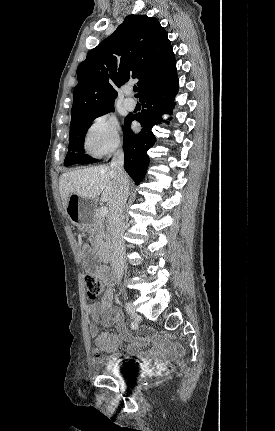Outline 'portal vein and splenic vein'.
<instances>
[{
	"label": "portal vein and splenic vein",
	"instance_id": "portal-vein-and-splenic-vein-1",
	"mask_svg": "<svg viewBox=\"0 0 275 431\" xmlns=\"http://www.w3.org/2000/svg\"><path fill=\"white\" fill-rule=\"evenodd\" d=\"M107 214H108V208H107V207H105V206L101 207V208H100V215H101L102 217H104V216H107Z\"/></svg>",
	"mask_w": 275,
	"mask_h": 431
}]
</instances>
